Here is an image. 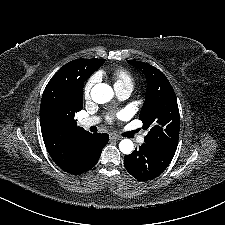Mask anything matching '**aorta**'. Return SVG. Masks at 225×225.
I'll use <instances>...</instances> for the list:
<instances>
[{"label":"aorta","mask_w":225,"mask_h":225,"mask_svg":"<svg viewBox=\"0 0 225 225\" xmlns=\"http://www.w3.org/2000/svg\"><path fill=\"white\" fill-rule=\"evenodd\" d=\"M113 96V89L105 83H98L91 89V98L98 104L109 102ZM119 149L123 154L128 155L133 152L134 144L130 139H123L119 143Z\"/></svg>","instance_id":"obj_1"}]
</instances>
